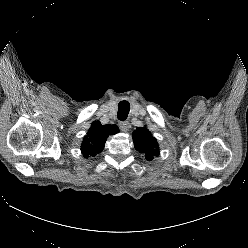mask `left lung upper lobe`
<instances>
[{
    "label": "left lung upper lobe",
    "instance_id": "left-lung-upper-lobe-1",
    "mask_svg": "<svg viewBox=\"0 0 248 248\" xmlns=\"http://www.w3.org/2000/svg\"><path fill=\"white\" fill-rule=\"evenodd\" d=\"M133 141L135 143V149L144 154L148 161H151L154 156L157 157L159 155L157 140L147 128H137L133 132Z\"/></svg>",
    "mask_w": 248,
    "mask_h": 248
}]
</instances>
